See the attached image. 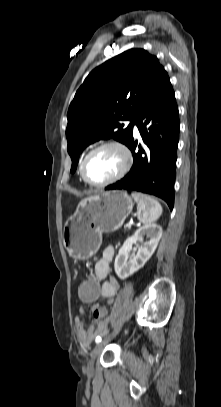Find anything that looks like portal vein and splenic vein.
Listing matches in <instances>:
<instances>
[{
    "label": "portal vein and splenic vein",
    "instance_id": "obj_1",
    "mask_svg": "<svg viewBox=\"0 0 221 407\" xmlns=\"http://www.w3.org/2000/svg\"><path fill=\"white\" fill-rule=\"evenodd\" d=\"M128 229H130L131 228V224H127V226H126Z\"/></svg>",
    "mask_w": 221,
    "mask_h": 407
}]
</instances>
